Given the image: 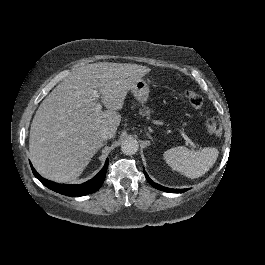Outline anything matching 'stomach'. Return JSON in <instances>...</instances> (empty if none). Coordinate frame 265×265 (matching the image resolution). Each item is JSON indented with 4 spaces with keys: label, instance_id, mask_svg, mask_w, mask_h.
<instances>
[{
    "label": "stomach",
    "instance_id": "1",
    "mask_svg": "<svg viewBox=\"0 0 265 265\" xmlns=\"http://www.w3.org/2000/svg\"><path fill=\"white\" fill-rule=\"evenodd\" d=\"M131 93L138 102L144 104L149 97V85L143 79L137 80L131 87Z\"/></svg>",
    "mask_w": 265,
    "mask_h": 265
}]
</instances>
